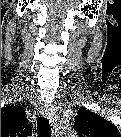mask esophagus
Returning <instances> with one entry per match:
<instances>
[{
	"instance_id": "obj_1",
	"label": "esophagus",
	"mask_w": 121,
	"mask_h": 137,
	"mask_svg": "<svg viewBox=\"0 0 121 137\" xmlns=\"http://www.w3.org/2000/svg\"><path fill=\"white\" fill-rule=\"evenodd\" d=\"M48 119H49L50 125L54 128L55 123H54V120H52V117L50 115L48 116Z\"/></svg>"
}]
</instances>
